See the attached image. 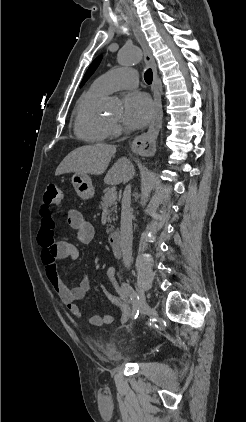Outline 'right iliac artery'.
I'll return each mask as SVG.
<instances>
[{
  "label": "right iliac artery",
  "instance_id": "1",
  "mask_svg": "<svg viewBox=\"0 0 246 422\" xmlns=\"http://www.w3.org/2000/svg\"><path fill=\"white\" fill-rule=\"evenodd\" d=\"M122 291L129 296L131 303H132V318L136 319L139 314V296L134 292L131 286L127 283H122L121 285Z\"/></svg>",
  "mask_w": 246,
  "mask_h": 422
}]
</instances>
